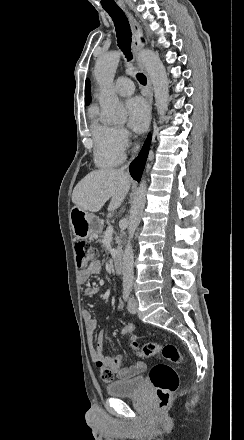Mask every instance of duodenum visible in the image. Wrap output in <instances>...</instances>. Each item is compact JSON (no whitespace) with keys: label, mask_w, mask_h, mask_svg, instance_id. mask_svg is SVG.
<instances>
[{"label":"duodenum","mask_w":244,"mask_h":440,"mask_svg":"<svg viewBox=\"0 0 244 440\" xmlns=\"http://www.w3.org/2000/svg\"><path fill=\"white\" fill-rule=\"evenodd\" d=\"M113 267L117 273H121L123 270V256L121 254H115L113 256Z\"/></svg>","instance_id":"obj_1"}]
</instances>
